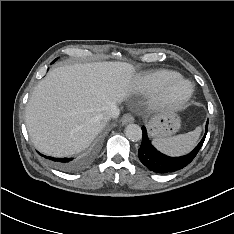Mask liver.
Wrapping results in <instances>:
<instances>
[{
	"mask_svg": "<svg viewBox=\"0 0 234 234\" xmlns=\"http://www.w3.org/2000/svg\"><path fill=\"white\" fill-rule=\"evenodd\" d=\"M135 86L126 62H92L51 70L26 105V126L34 146L62 157L85 149L106 123L100 115L125 100Z\"/></svg>",
	"mask_w": 234,
	"mask_h": 234,
	"instance_id": "liver-1",
	"label": "liver"
}]
</instances>
